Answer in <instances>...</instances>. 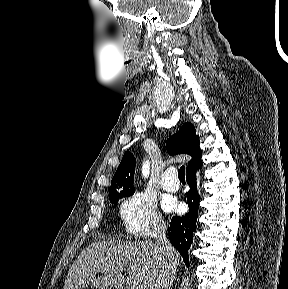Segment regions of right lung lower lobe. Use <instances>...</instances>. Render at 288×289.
I'll return each mask as SVG.
<instances>
[{"instance_id":"right-lung-lower-lobe-1","label":"right lung lower lobe","mask_w":288,"mask_h":289,"mask_svg":"<svg viewBox=\"0 0 288 289\" xmlns=\"http://www.w3.org/2000/svg\"><path fill=\"white\" fill-rule=\"evenodd\" d=\"M200 167L201 160L187 170V183L191 187L187 193L189 212L182 217H173L170 223V241L182 255L187 265H189L188 250L193 240V232L196 231V219L200 201L196 187V171Z\"/></svg>"}]
</instances>
